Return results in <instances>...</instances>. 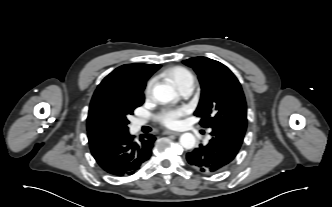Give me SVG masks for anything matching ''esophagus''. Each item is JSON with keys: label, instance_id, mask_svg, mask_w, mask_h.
<instances>
[{"label": "esophagus", "instance_id": "obj_1", "mask_svg": "<svg viewBox=\"0 0 332 207\" xmlns=\"http://www.w3.org/2000/svg\"><path fill=\"white\" fill-rule=\"evenodd\" d=\"M163 134H165V135H176V136L180 135L179 132H175V131H171V130H165L163 132Z\"/></svg>", "mask_w": 332, "mask_h": 207}]
</instances>
